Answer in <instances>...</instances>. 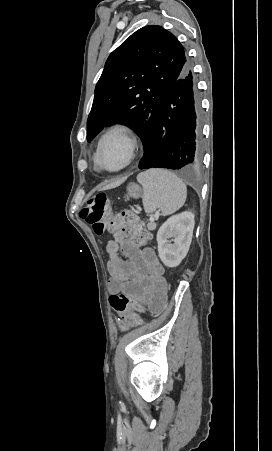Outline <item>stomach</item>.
Returning a JSON list of instances; mask_svg holds the SVG:
<instances>
[{
    "label": "stomach",
    "mask_w": 272,
    "mask_h": 451,
    "mask_svg": "<svg viewBox=\"0 0 272 451\" xmlns=\"http://www.w3.org/2000/svg\"><path fill=\"white\" fill-rule=\"evenodd\" d=\"M128 196L130 198H141L142 188L137 186V184H130L127 188Z\"/></svg>",
    "instance_id": "1"
}]
</instances>
